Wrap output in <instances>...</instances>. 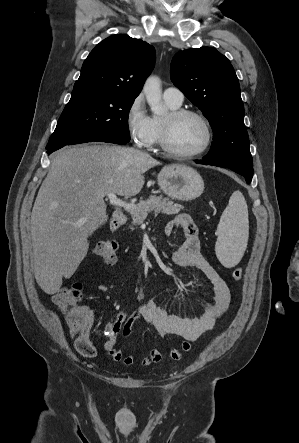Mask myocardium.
Segmentation results:
<instances>
[{"mask_svg":"<svg viewBox=\"0 0 299 443\" xmlns=\"http://www.w3.org/2000/svg\"><path fill=\"white\" fill-rule=\"evenodd\" d=\"M186 116L197 117L204 125L206 130V139L203 145L193 152H179L171 148L169 144V133L171 125L174 121ZM213 140V130L208 118L201 112L193 109L178 108L171 110L167 118L161 120V129L159 137V147L168 156L178 159H193L204 154L211 146Z\"/></svg>","mask_w":299,"mask_h":443,"instance_id":"1","label":"myocardium"}]
</instances>
